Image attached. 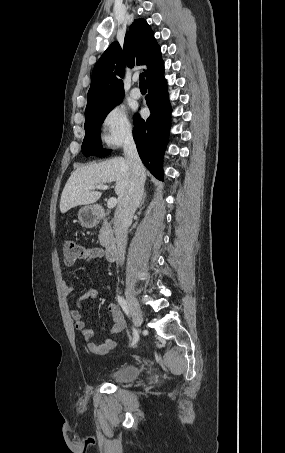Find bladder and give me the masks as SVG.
Masks as SVG:
<instances>
[{
  "instance_id": "1",
  "label": "bladder",
  "mask_w": 285,
  "mask_h": 453,
  "mask_svg": "<svg viewBox=\"0 0 285 453\" xmlns=\"http://www.w3.org/2000/svg\"><path fill=\"white\" fill-rule=\"evenodd\" d=\"M140 370L135 365H122L105 373L106 378L113 382H128L136 379Z\"/></svg>"
}]
</instances>
